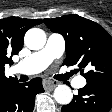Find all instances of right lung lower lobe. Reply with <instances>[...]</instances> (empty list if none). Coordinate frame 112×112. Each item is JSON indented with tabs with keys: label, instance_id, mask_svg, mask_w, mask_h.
Masks as SVG:
<instances>
[{
	"label": "right lung lower lobe",
	"instance_id": "obj_1",
	"mask_svg": "<svg viewBox=\"0 0 112 112\" xmlns=\"http://www.w3.org/2000/svg\"><path fill=\"white\" fill-rule=\"evenodd\" d=\"M42 92L41 78H34L25 84L14 80L0 93V112H32L35 96Z\"/></svg>",
	"mask_w": 112,
	"mask_h": 112
}]
</instances>
